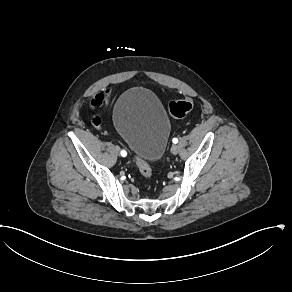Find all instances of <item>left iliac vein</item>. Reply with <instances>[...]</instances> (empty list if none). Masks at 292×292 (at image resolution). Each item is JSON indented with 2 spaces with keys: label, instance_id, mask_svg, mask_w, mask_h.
I'll list each match as a JSON object with an SVG mask.
<instances>
[{
  "label": "left iliac vein",
  "instance_id": "obj_1",
  "mask_svg": "<svg viewBox=\"0 0 292 292\" xmlns=\"http://www.w3.org/2000/svg\"><path fill=\"white\" fill-rule=\"evenodd\" d=\"M171 151L172 154L176 155L179 151V147L177 145H173Z\"/></svg>",
  "mask_w": 292,
  "mask_h": 292
}]
</instances>
